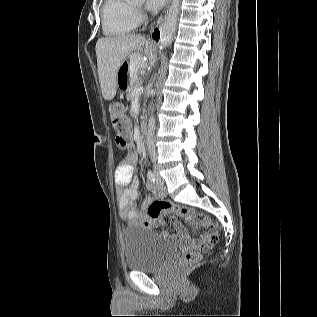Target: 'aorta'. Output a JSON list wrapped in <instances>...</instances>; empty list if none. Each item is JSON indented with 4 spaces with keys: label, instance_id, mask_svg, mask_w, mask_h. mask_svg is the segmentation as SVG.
Here are the masks:
<instances>
[{
    "label": "aorta",
    "instance_id": "aorta-1",
    "mask_svg": "<svg viewBox=\"0 0 317 317\" xmlns=\"http://www.w3.org/2000/svg\"><path fill=\"white\" fill-rule=\"evenodd\" d=\"M174 22L172 20H167V23L164 24L163 30L166 33H171L173 31Z\"/></svg>",
    "mask_w": 317,
    "mask_h": 317
}]
</instances>
